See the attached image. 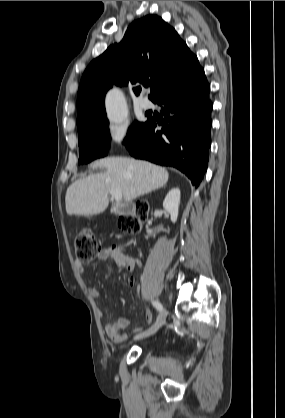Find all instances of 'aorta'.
I'll list each match as a JSON object with an SVG mask.
<instances>
[{"mask_svg":"<svg viewBox=\"0 0 285 418\" xmlns=\"http://www.w3.org/2000/svg\"><path fill=\"white\" fill-rule=\"evenodd\" d=\"M105 104L108 118L112 124L120 125L125 122L127 117L125 101L123 94L118 89L108 92Z\"/></svg>","mask_w":285,"mask_h":418,"instance_id":"obj_1","label":"aorta"}]
</instances>
